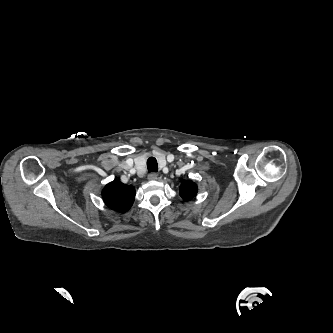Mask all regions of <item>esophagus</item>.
Returning <instances> with one entry per match:
<instances>
[{"mask_svg":"<svg viewBox=\"0 0 333 333\" xmlns=\"http://www.w3.org/2000/svg\"><path fill=\"white\" fill-rule=\"evenodd\" d=\"M158 178V174L155 172H152L148 175L149 180H156Z\"/></svg>","mask_w":333,"mask_h":333,"instance_id":"esophagus-1","label":"esophagus"}]
</instances>
